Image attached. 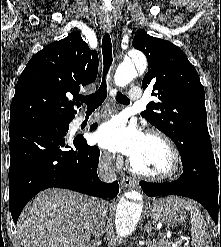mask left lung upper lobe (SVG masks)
I'll list each match as a JSON object with an SVG mask.
<instances>
[{"label":"left lung upper lobe","mask_w":221,"mask_h":247,"mask_svg":"<svg viewBox=\"0 0 221 247\" xmlns=\"http://www.w3.org/2000/svg\"><path fill=\"white\" fill-rule=\"evenodd\" d=\"M132 46L148 60L143 89L152 86V95L159 99L147 105L142 117L170 137L181 156L199 142L210 140L204 88L185 53L173 43L145 32L135 35Z\"/></svg>","instance_id":"1"}]
</instances>
